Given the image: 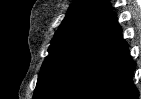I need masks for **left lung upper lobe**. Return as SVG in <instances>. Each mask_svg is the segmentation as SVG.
<instances>
[{"label": "left lung upper lobe", "instance_id": "obj_1", "mask_svg": "<svg viewBox=\"0 0 141 99\" xmlns=\"http://www.w3.org/2000/svg\"><path fill=\"white\" fill-rule=\"evenodd\" d=\"M108 0H75L56 31L49 55L43 62L34 98L38 99L56 80L60 72L82 45L110 17Z\"/></svg>", "mask_w": 141, "mask_h": 99}]
</instances>
